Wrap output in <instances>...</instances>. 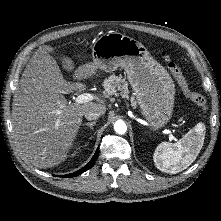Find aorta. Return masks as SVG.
<instances>
[{
    "label": "aorta",
    "mask_w": 221,
    "mask_h": 221,
    "mask_svg": "<svg viewBox=\"0 0 221 221\" xmlns=\"http://www.w3.org/2000/svg\"><path fill=\"white\" fill-rule=\"evenodd\" d=\"M114 130L118 134H124L127 131L126 123L123 120H117L114 124Z\"/></svg>",
    "instance_id": "1"
}]
</instances>
